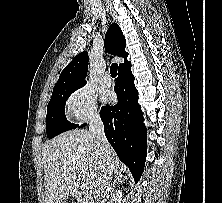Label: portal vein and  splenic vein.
I'll list each match as a JSON object with an SVG mask.
<instances>
[{"label": "portal vein and splenic vein", "instance_id": "obj_1", "mask_svg": "<svg viewBox=\"0 0 222 203\" xmlns=\"http://www.w3.org/2000/svg\"><path fill=\"white\" fill-rule=\"evenodd\" d=\"M82 186H83V188L88 189L89 188V183L84 180L83 183H82Z\"/></svg>", "mask_w": 222, "mask_h": 203}]
</instances>
